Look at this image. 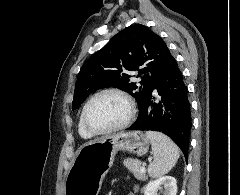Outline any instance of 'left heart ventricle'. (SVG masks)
Returning <instances> with one entry per match:
<instances>
[{
    "label": "left heart ventricle",
    "mask_w": 240,
    "mask_h": 195,
    "mask_svg": "<svg viewBox=\"0 0 240 195\" xmlns=\"http://www.w3.org/2000/svg\"><path fill=\"white\" fill-rule=\"evenodd\" d=\"M127 102L118 95L107 94L96 99L88 108L87 124L96 130L111 128L128 115Z\"/></svg>",
    "instance_id": "1"
}]
</instances>
